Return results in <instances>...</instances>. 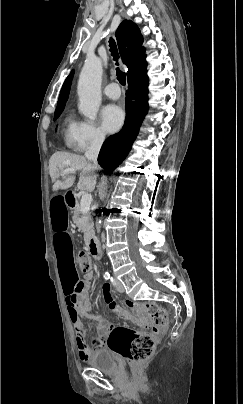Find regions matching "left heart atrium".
Returning a JSON list of instances; mask_svg holds the SVG:
<instances>
[{"instance_id":"obj_1","label":"left heart atrium","mask_w":243,"mask_h":404,"mask_svg":"<svg viewBox=\"0 0 243 404\" xmlns=\"http://www.w3.org/2000/svg\"><path fill=\"white\" fill-rule=\"evenodd\" d=\"M124 122V112L117 104L110 103L100 112V124L105 133H114Z\"/></svg>"}]
</instances>
